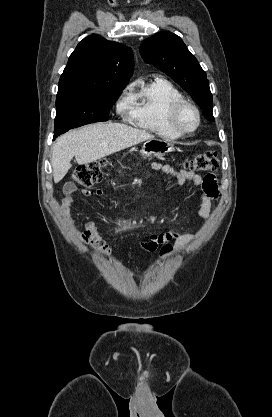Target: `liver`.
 I'll list each match as a JSON object with an SVG mask.
<instances>
[{
	"label": "liver",
	"mask_w": 272,
	"mask_h": 417,
	"mask_svg": "<svg viewBox=\"0 0 272 417\" xmlns=\"http://www.w3.org/2000/svg\"><path fill=\"white\" fill-rule=\"evenodd\" d=\"M153 138L144 130L119 123H95L69 131L53 144L54 182L64 178L73 157L83 165Z\"/></svg>",
	"instance_id": "liver-1"
}]
</instances>
